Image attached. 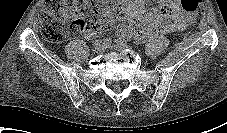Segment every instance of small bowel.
<instances>
[{"mask_svg": "<svg viewBox=\"0 0 227 133\" xmlns=\"http://www.w3.org/2000/svg\"><path fill=\"white\" fill-rule=\"evenodd\" d=\"M159 8L147 11L144 0H122L121 9L116 18L125 23L117 26V32L125 37H133L141 41L147 36L158 33H174L184 30L193 22V18L186 15L177 0H158ZM159 19L166 21L160 23ZM103 29L87 31L85 36L94 39Z\"/></svg>", "mask_w": 227, "mask_h": 133, "instance_id": "obj_1", "label": "small bowel"}]
</instances>
